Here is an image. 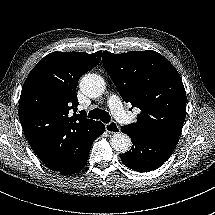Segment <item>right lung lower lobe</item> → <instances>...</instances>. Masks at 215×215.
I'll list each match as a JSON object with an SVG mask.
<instances>
[{
	"instance_id": "98d812e1",
	"label": "right lung lower lobe",
	"mask_w": 215,
	"mask_h": 215,
	"mask_svg": "<svg viewBox=\"0 0 215 215\" xmlns=\"http://www.w3.org/2000/svg\"><path fill=\"white\" fill-rule=\"evenodd\" d=\"M104 131L105 126L99 121H95L87 128L79 131L69 140V148L64 164L57 169H50L64 175H71L80 171L87 163L93 141Z\"/></svg>"
}]
</instances>
